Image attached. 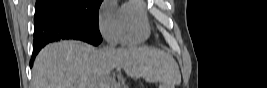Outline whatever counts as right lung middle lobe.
Instances as JSON below:
<instances>
[{"mask_svg":"<svg viewBox=\"0 0 267 88\" xmlns=\"http://www.w3.org/2000/svg\"><path fill=\"white\" fill-rule=\"evenodd\" d=\"M102 1L103 0H37L36 6L43 4L46 7L58 9L69 17L83 22L87 27L99 30V7Z\"/></svg>","mask_w":267,"mask_h":88,"instance_id":"obj_1","label":"right lung middle lobe"}]
</instances>
